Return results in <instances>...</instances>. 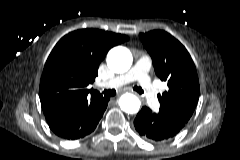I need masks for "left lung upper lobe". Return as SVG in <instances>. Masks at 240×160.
<instances>
[{
    "label": "left lung upper lobe",
    "mask_w": 240,
    "mask_h": 160,
    "mask_svg": "<svg viewBox=\"0 0 240 160\" xmlns=\"http://www.w3.org/2000/svg\"><path fill=\"white\" fill-rule=\"evenodd\" d=\"M139 36L152 58L156 75L167 82L168 90L159 95L160 110L187 123L200 95L198 75L190 54L165 31L154 30Z\"/></svg>",
    "instance_id": "1"
}]
</instances>
